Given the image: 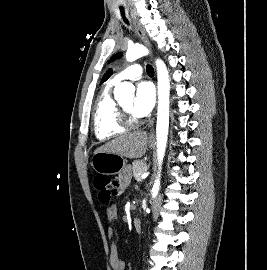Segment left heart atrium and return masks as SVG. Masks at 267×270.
Masks as SVG:
<instances>
[{
	"label": "left heart atrium",
	"instance_id": "left-heart-atrium-1",
	"mask_svg": "<svg viewBox=\"0 0 267 270\" xmlns=\"http://www.w3.org/2000/svg\"><path fill=\"white\" fill-rule=\"evenodd\" d=\"M155 92L151 83L143 81L137 85L132 103V112L136 117L146 116L153 108Z\"/></svg>",
	"mask_w": 267,
	"mask_h": 270
}]
</instances>
